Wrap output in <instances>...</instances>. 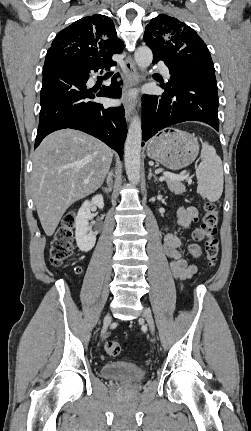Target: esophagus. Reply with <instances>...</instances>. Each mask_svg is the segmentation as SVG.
<instances>
[{
    "label": "esophagus",
    "instance_id": "1",
    "mask_svg": "<svg viewBox=\"0 0 251 431\" xmlns=\"http://www.w3.org/2000/svg\"><path fill=\"white\" fill-rule=\"evenodd\" d=\"M125 70H126V81H125V90L129 91L134 88L139 83V75L137 71L136 64L131 55H127L125 58ZM125 118L127 122H129L132 118V114L134 111V102L130 99H126L125 105Z\"/></svg>",
    "mask_w": 251,
    "mask_h": 431
}]
</instances>
